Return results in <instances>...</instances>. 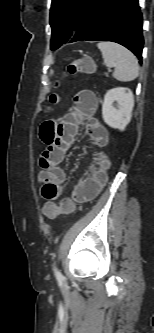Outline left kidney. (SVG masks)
<instances>
[{"mask_svg": "<svg viewBox=\"0 0 154 333\" xmlns=\"http://www.w3.org/2000/svg\"><path fill=\"white\" fill-rule=\"evenodd\" d=\"M133 107L134 97L130 89L124 87L110 89L102 105L103 120L108 126L124 131L131 121Z\"/></svg>", "mask_w": 154, "mask_h": 333, "instance_id": "5707ae66", "label": "left kidney"}]
</instances>
